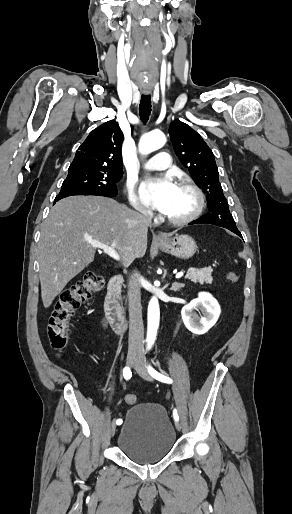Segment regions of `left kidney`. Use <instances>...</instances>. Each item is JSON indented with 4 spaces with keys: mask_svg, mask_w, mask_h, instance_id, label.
<instances>
[{
    "mask_svg": "<svg viewBox=\"0 0 292 514\" xmlns=\"http://www.w3.org/2000/svg\"><path fill=\"white\" fill-rule=\"evenodd\" d=\"M194 310H200L202 316H198ZM220 314L221 308L217 300L207 292H200L198 298L183 306L181 310L182 320L186 328L192 334H198V336L206 334L216 324Z\"/></svg>",
    "mask_w": 292,
    "mask_h": 514,
    "instance_id": "left-kidney-1",
    "label": "left kidney"
}]
</instances>
